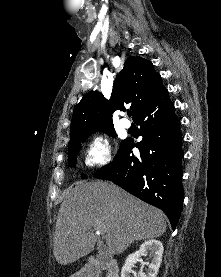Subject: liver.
<instances>
[{"label": "liver", "mask_w": 221, "mask_h": 277, "mask_svg": "<svg viewBox=\"0 0 221 277\" xmlns=\"http://www.w3.org/2000/svg\"><path fill=\"white\" fill-rule=\"evenodd\" d=\"M105 227L110 255L123 253L134 241L157 238L166 231L164 214L118 186L81 183L62 202L56 221L53 253L68 265L94 250V224Z\"/></svg>", "instance_id": "1"}]
</instances>
